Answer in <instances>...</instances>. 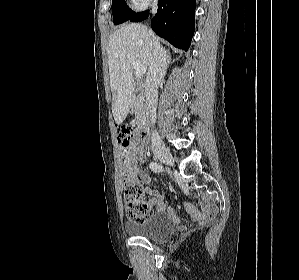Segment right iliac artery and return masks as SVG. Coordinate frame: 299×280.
Wrapping results in <instances>:
<instances>
[{
    "label": "right iliac artery",
    "mask_w": 299,
    "mask_h": 280,
    "mask_svg": "<svg viewBox=\"0 0 299 280\" xmlns=\"http://www.w3.org/2000/svg\"><path fill=\"white\" fill-rule=\"evenodd\" d=\"M149 167H150V169H151L152 171H154V172H161V171H163V166L160 165V164L157 163V162H151V163L149 164Z\"/></svg>",
    "instance_id": "right-iliac-artery-1"
}]
</instances>
